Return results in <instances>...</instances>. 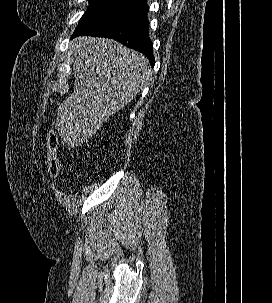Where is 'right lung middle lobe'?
I'll return each mask as SVG.
<instances>
[{"label":"right lung middle lobe","mask_w":272,"mask_h":303,"mask_svg":"<svg viewBox=\"0 0 272 303\" xmlns=\"http://www.w3.org/2000/svg\"><path fill=\"white\" fill-rule=\"evenodd\" d=\"M142 11L137 5L115 0H89L74 34L90 31L105 23L120 20Z\"/></svg>","instance_id":"right-lung-middle-lobe-1"}]
</instances>
